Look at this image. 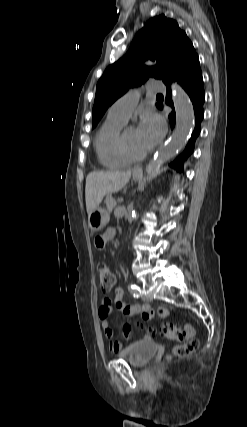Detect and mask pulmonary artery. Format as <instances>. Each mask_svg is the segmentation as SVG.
<instances>
[{"mask_svg": "<svg viewBox=\"0 0 247 427\" xmlns=\"http://www.w3.org/2000/svg\"><path fill=\"white\" fill-rule=\"evenodd\" d=\"M149 91H163L164 86L157 81H150L147 85ZM138 89H133L117 99L109 108L108 115L122 120H128L139 101Z\"/></svg>", "mask_w": 247, "mask_h": 427, "instance_id": "1", "label": "pulmonary artery"}]
</instances>
